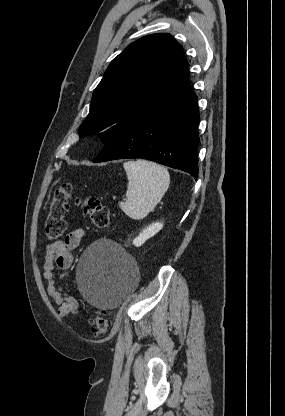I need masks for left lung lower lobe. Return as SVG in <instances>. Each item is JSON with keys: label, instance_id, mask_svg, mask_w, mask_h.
<instances>
[{"label": "left lung lower lobe", "instance_id": "0a47b994", "mask_svg": "<svg viewBox=\"0 0 285 416\" xmlns=\"http://www.w3.org/2000/svg\"><path fill=\"white\" fill-rule=\"evenodd\" d=\"M199 111L188 85L168 103L129 124L93 162L143 158L198 176Z\"/></svg>", "mask_w": 285, "mask_h": 416}]
</instances>
